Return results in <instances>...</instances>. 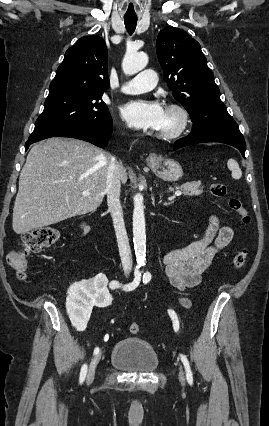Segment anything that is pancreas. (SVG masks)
<instances>
[{
  "instance_id": "cf45deb5",
  "label": "pancreas",
  "mask_w": 269,
  "mask_h": 426,
  "mask_svg": "<svg viewBox=\"0 0 269 426\" xmlns=\"http://www.w3.org/2000/svg\"><path fill=\"white\" fill-rule=\"evenodd\" d=\"M176 188L180 189L186 196H198L203 193V187L201 186L200 181L187 182Z\"/></svg>"
}]
</instances>
